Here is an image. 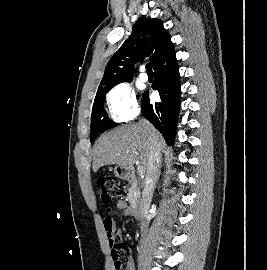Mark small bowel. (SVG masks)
<instances>
[{"label": "small bowel", "mask_w": 267, "mask_h": 270, "mask_svg": "<svg viewBox=\"0 0 267 270\" xmlns=\"http://www.w3.org/2000/svg\"><path fill=\"white\" fill-rule=\"evenodd\" d=\"M117 209L122 215L129 216L132 211L128 204L125 201H118L116 203ZM105 229L108 235L110 248H111V258L114 266V260L116 258L120 259V253L124 252L127 255L125 270H135L134 259L131 255V250L128 246L120 242L121 233L120 230L116 227L111 216H107L104 220Z\"/></svg>", "instance_id": "c3829d8e"}]
</instances>
